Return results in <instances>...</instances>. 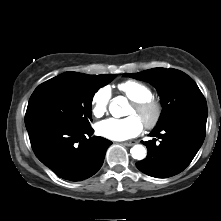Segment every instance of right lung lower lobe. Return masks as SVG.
<instances>
[{"label": "right lung lower lobe", "mask_w": 221, "mask_h": 221, "mask_svg": "<svg viewBox=\"0 0 221 221\" xmlns=\"http://www.w3.org/2000/svg\"><path fill=\"white\" fill-rule=\"evenodd\" d=\"M26 128L37 158L70 181H81L98 172L112 144L105 138L91 137L92 128L79 130L55 121H37Z\"/></svg>", "instance_id": "right-lung-lower-lobe-1"}]
</instances>
